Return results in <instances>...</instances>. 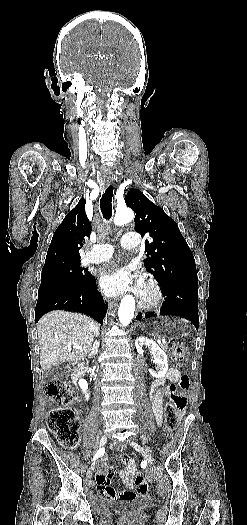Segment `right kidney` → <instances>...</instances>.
Segmentation results:
<instances>
[{
  "label": "right kidney",
  "instance_id": "right-kidney-1",
  "mask_svg": "<svg viewBox=\"0 0 247 525\" xmlns=\"http://www.w3.org/2000/svg\"><path fill=\"white\" fill-rule=\"evenodd\" d=\"M78 385H79L80 389H82L83 393H85V391H87L88 383H87V381H85V379H79Z\"/></svg>",
  "mask_w": 247,
  "mask_h": 525
}]
</instances>
